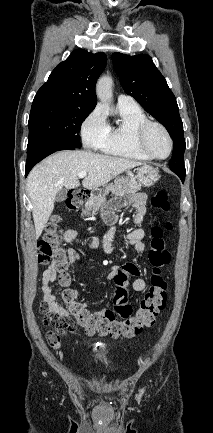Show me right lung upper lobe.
Returning a JSON list of instances; mask_svg holds the SVG:
<instances>
[{
  "label": "right lung upper lobe",
  "mask_w": 213,
  "mask_h": 433,
  "mask_svg": "<svg viewBox=\"0 0 213 433\" xmlns=\"http://www.w3.org/2000/svg\"><path fill=\"white\" fill-rule=\"evenodd\" d=\"M106 63L107 57L104 53L93 54L83 49L74 50L52 71L34 100L74 103L94 109L97 103L96 81Z\"/></svg>",
  "instance_id": "obj_1"
}]
</instances>
